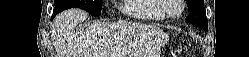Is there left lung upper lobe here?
<instances>
[{
    "label": "left lung upper lobe",
    "mask_w": 249,
    "mask_h": 57,
    "mask_svg": "<svg viewBox=\"0 0 249 57\" xmlns=\"http://www.w3.org/2000/svg\"><path fill=\"white\" fill-rule=\"evenodd\" d=\"M186 2L190 13L185 21L199 27H208L204 0H186Z\"/></svg>",
    "instance_id": "obj_1"
}]
</instances>
